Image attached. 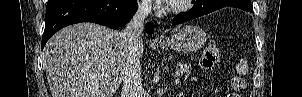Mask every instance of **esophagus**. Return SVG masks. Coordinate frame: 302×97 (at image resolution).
<instances>
[{"label": "esophagus", "instance_id": "1", "mask_svg": "<svg viewBox=\"0 0 302 97\" xmlns=\"http://www.w3.org/2000/svg\"><path fill=\"white\" fill-rule=\"evenodd\" d=\"M155 40L158 42V41H161L162 40V37L160 36V35H157L156 37H155Z\"/></svg>", "mask_w": 302, "mask_h": 97}]
</instances>
